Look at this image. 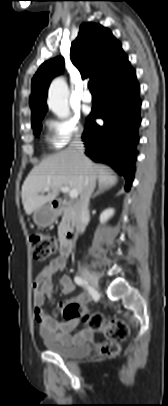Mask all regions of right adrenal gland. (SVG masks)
<instances>
[{"label":"right adrenal gland","instance_id":"right-adrenal-gland-1","mask_svg":"<svg viewBox=\"0 0 168 406\" xmlns=\"http://www.w3.org/2000/svg\"><path fill=\"white\" fill-rule=\"evenodd\" d=\"M107 186H100V188L97 190V192L93 195V199L98 196L100 193H102L105 189H107Z\"/></svg>","mask_w":168,"mask_h":406}]
</instances>
